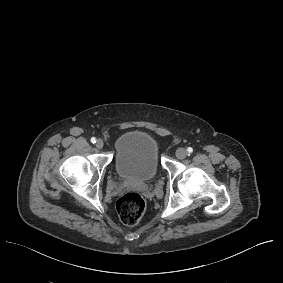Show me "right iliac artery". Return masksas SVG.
<instances>
[{"label": "right iliac artery", "instance_id": "right-iliac-artery-1", "mask_svg": "<svg viewBox=\"0 0 283 283\" xmlns=\"http://www.w3.org/2000/svg\"><path fill=\"white\" fill-rule=\"evenodd\" d=\"M91 142L94 144V143H96V139L93 137V138H91Z\"/></svg>", "mask_w": 283, "mask_h": 283}]
</instances>
